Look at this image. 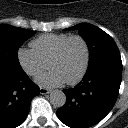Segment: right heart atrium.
Returning <instances> with one entry per match:
<instances>
[{"mask_svg": "<svg viewBox=\"0 0 128 128\" xmlns=\"http://www.w3.org/2000/svg\"><path fill=\"white\" fill-rule=\"evenodd\" d=\"M17 59L24 72L32 77L38 76L47 67V63H45L32 48H19L17 51Z\"/></svg>", "mask_w": 128, "mask_h": 128, "instance_id": "obj_1", "label": "right heart atrium"}]
</instances>
